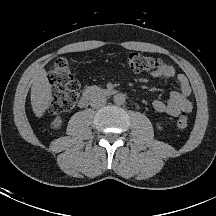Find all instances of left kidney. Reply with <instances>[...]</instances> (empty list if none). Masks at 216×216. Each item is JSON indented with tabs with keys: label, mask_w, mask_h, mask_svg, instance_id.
<instances>
[{
	"label": "left kidney",
	"mask_w": 216,
	"mask_h": 216,
	"mask_svg": "<svg viewBox=\"0 0 216 216\" xmlns=\"http://www.w3.org/2000/svg\"><path fill=\"white\" fill-rule=\"evenodd\" d=\"M157 127H158V129H159V130H161V129H162V127L160 126V124H159V123L157 124Z\"/></svg>",
	"instance_id": "1"
}]
</instances>
